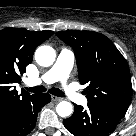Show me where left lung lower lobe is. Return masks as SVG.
<instances>
[{
	"mask_svg": "<svg viewBox=\"0 0 136 136\" xmlns=\"http://www.w3.org/2000/svg\"><path fill=\"white\" fill-rule=\"evenodd\" d=\"M124 115L122 110L88 103L86 110L75 105L73 115L63 123L75 136H107Z\"/></svg>",
	"mask_w": 136,
	"mask_h": 136,
	"instance_id": "1",
	"label": "left lung lower lobe"
}]
</instances>
